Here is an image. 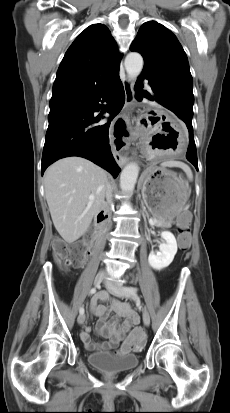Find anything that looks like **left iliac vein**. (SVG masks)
<instances>
[{
	"instance_id": "left-iliac-vein-1",
	"label": "left iliac vein",
	"mask_w": 230,
	"mask_h": 413,
	"mask_svg": "<svg viewBox=\"0 0 230 413\" xmlns=\"http://www.w3.org/2000/svg\"><path fill=\"white\" fill-rule=\"evenodd\" d=\"M105 287L114 296L129 297V298L133 297L132 294L127 293V292L124 291V289L122 288L121 283H112L110 281H106L105 282ZM142 316H143L144 324L146 326H148L150 324V315H149V312L147 311V309L145 307L142 308Z\"/></svg>"
}]
</instances>
